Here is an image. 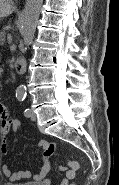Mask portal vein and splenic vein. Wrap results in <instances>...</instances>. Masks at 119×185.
Masks as SVG:
<instances>
[{"instance_id":"1","label":"portal vein and splenic vein","mask_w":119,"mask_h":185,"mask_svg":"<svg viewBox=\"0 0 119 185\" xmlns=\"http://www.w3.org/2000/svg\"><path fill=\"white\" fill-rule=\"evenodd\" d=\"M7 39H8L9 43H12V36H11V34H8Z\"/></svg>"}]
</instances>
